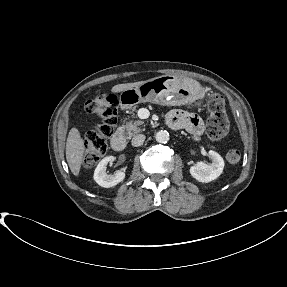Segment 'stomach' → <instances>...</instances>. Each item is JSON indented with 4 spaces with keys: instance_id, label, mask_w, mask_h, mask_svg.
I'll use <instances>...</instances> for the list:
<instances>
[{
    "instance_id": "1",
    "label": "stomach",
    "mask_w": 287,
    "mask_h": 287,
    "mask_svg": "<svg viewBox=\"0 0 287 287\" xmlns=\"http://www.w3.org/2000/svg\"><path fill=\"white\" fill-rule=\"evenodd\" d=\"M200 95L201 90L193 82L174 75H162L122 91L119 104L123 110H134L137 104L145 102L181 106L195 102Z\"/></svg>"
}]
</instances>
